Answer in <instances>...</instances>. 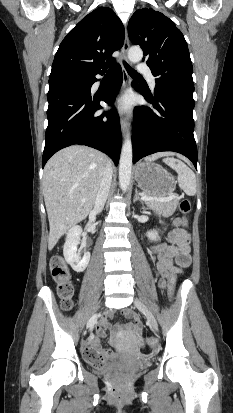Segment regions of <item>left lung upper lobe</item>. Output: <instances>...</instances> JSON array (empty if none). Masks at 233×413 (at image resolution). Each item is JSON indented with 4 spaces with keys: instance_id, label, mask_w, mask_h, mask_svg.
<instances>
[{
    "instance_id": "5c2ea615",
    "label": "left lung upper lobe",
    "mask_w": 233,
    "mask_h": 413,
    "mask_svg": "<svg viewBox=\"0 0 233 413\" xmlns=\"http://www.w3.org/2000/svg\"><path fill=\"white\" fill-rule=\"evenodd\" d=\"M128 35L132 43L142 48L157 83L193 94L188 46L181 31L169 18L153 9H139L128 23Z\"/></svg>"
}]
</instances>
